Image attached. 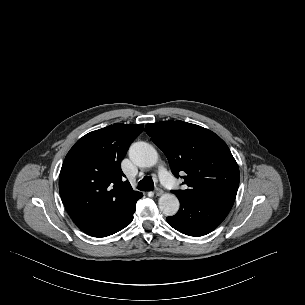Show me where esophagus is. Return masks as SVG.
<instances>
[{"mask_svg":"<svg viewBox=\"0 0 305 305\" xmlns=\"http://www.w3.org/2000/svg\"><path fill=\"white\" fill-rule=\"evenodd\" d=\"M154 194H155L156 196H160V195L163 194V190L160 189V188H157V189H155Z\"/></svg>","mask_w":305,"mask_h":305,"instance_id":"34e87169","label":"esophagus"}]
</instances>
